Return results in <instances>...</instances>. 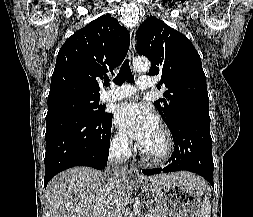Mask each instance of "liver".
Returning a JSON list of instances; mask_svg holds the SVG:
<instances>
[{"label":"liver","mask_w":253,"mask_h":217,"mask_svg":"<svg viewBox=\"0 0 253 217\" xmlns=\"http://www.w3.org/2000/svg\"><path fill=\"white\" fill-rule=\"evenodd\" d=\"M167 179L191 187H206L204 180L190 172L149 177L153 185ZM110 188V178L104 172L89 167L68 169L54 177L47 186L51 217H122L132 194L131 182L128 178L123 180L119 203H114Z\"/></svg>","instance_id":"liver-1"}]
</instances>
